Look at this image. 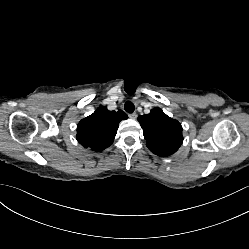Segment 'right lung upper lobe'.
Returning <instances> with one entry per match:
<instances>
[{
	"label": "right lung upper lobe",
	"mask_w": 249,
	"mask_h": 249,
	"mask_svg": "<svg viewBox=\"0 0 249 249\" xmlns=\"http://www.w3.org/2000/svg\"><path fill=\"white\" fill-rule=\"evenodd\" d=\"M127 118L122 110L116 112L104 106L99 107L78 123L77 140L85 148L102 151L113 143L119 122Z\"/></svg>",
	"instance_id": "cb5924a9"
}]
</instances>
